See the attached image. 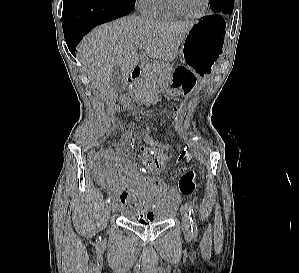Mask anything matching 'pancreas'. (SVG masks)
<instances>
[{"instance_id": "obj_1", "label": "pancreas", "mask_w": 299, "mask_h": 273, "mask_svg": "<svg viewBox=\"0 0 299 273\" xmlns=\"http://www.w3.org/2000/svg\"><path fill=\"white\" fill-rule=\"evenodd\" d=\"M145 75L139 80L134 93L136 95L144 94L155 89L156 83L167 76L170 69L168 63L161 61L148 62L144 65Z\"/></svg>"}]
</instances>
